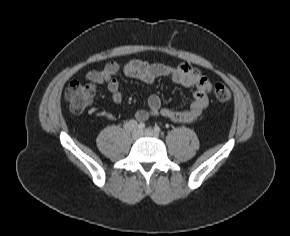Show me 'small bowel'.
Returning a JSON list of instances; mask_svg holds the SVG:
<instances>
[{
	"instance_id": "small-bowel-1",
	"label": "small bowel",
	"mask_w": 290,
	"mask_h": 236,
	"mask_svg": "<svg viewBox=\"0 0 290 236\" xmlns=\"http://www.w3.org/2000/svg\"><path fill=\"white\" fill-rule=\"evenodd\" d=\"M120 71L117 62L111 61L100 69L90 70L86 80L98 85H106L112 101L120 104L123 100L120 84L116 75ZM123 72L127 77L152 84L157 78L168 77L174 83L194 88L191 105L182 110H175L162 105L158 95L152 94L148 98V108L138 110L135 118L144 122L152 116H161L177 123H192L203 114L209 104L211 83L202 71L188 63L169 66L161 63H151L146 60L135 59L125 64Z\"/></svg>"
}]
</instances>
